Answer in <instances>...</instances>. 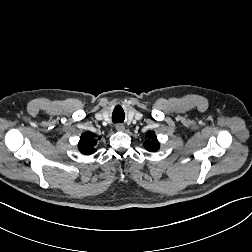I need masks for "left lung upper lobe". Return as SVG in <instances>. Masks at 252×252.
I'll list each match as a JSON object with an SVG mask.
<instances>
[{
    "instance_id": "obj_1",
    "label": "left lung upper lobe",
    "mask_w": 252,
    "mask_h": 252,
    "mask_svg": "<svg viewBox=\"0 0 252 252\" xmlns=\"http://www.w3.org/2000/svg\"><path fill=\"white\" fill-rule=\"evenodd\" d=\"M146 137L147 140L144 143V147L150 152L157 151L159 149V142L154 132L148 131Z\"/></svg>"
}]
</instances>
